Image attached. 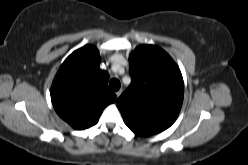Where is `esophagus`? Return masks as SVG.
<instances>
[{
	"instance_id": "1",
	"label": "esophagus",
	"mask_w": 248,
	"mask_h": 165,
	"mask_svg": "<svg viewBox=\"0 0 248 165\" xmlns=\"http://www.w3.org/2000/svg\"><path fill=\"white\" fill-rule=\"evenodd\" d=\"M115 94H116L117 98H118V97H120V95L122 94V90H118V91H116V93H115Z\"/></svg>"
}]
</instances>
